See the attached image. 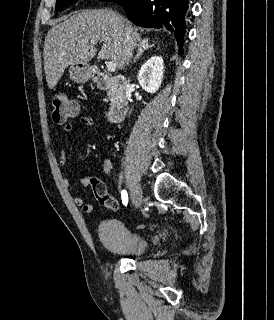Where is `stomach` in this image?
<instances>
[{
	"instance_id": "obj_1",
	"label": "stomach",
	"mask_w": 274,
	"mask_h": 320,
	"mask_svg": "<svg viewBox=\"0 0 274 320\" xmlns=\"http://www.w3.org/2000/svg\"><path fill=\"white\" fill-rule=\"evenodd\" d=\"M93 76V66L90 64H71L70 66V78L78 84H84L88 82Z\"/></svg>"
}]
</instances>
